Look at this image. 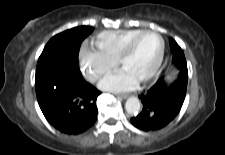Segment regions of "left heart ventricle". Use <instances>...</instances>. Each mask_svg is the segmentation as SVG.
Instances as JSON below:
<instances>
[{"label":"left heart ventricle","mask_w":225,"mask_h":155,"mask_svg":"<svg viewBox=\"0 0 225 155\" xmlns=\"http://www.w3.org/2000/svg\"><path fill=\"white\" fill-rule=\"evenodd\" d=\"M160 51V40L154 34L142 36L132 52L124 60L122 67L142 80L154 67Z\"/></svg>","instance_id":"1"}]
</instances>
